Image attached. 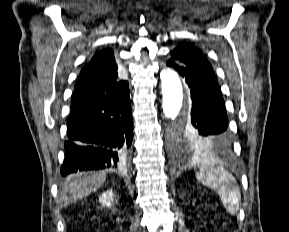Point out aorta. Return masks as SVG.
<instances>
[{
  "label": "aorta",
  "mask_w": 289,
  "mask_h": 232,
  "mask_svg": "<svg viewBox=\"0 0 289 232\" xmlns=\"http://www.w3.org/2000/svg\"><path fill=\"white\" fill-rule=\"evenodd\" d=\"M163 112L170 120L181 119L187 121L186 116L180 117L183 107V88L178 74L171 70L165 69L160 73Z\"/></svg>",
  "instance_id": "aorta-1"
}]
</instances>
